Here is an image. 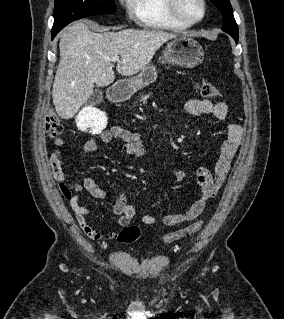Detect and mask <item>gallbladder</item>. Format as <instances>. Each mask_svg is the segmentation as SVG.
<instances>
[{
	"label": "gallbladder",
	"mask_w": 284,
	"mask_h": 319,
	"mask_svg": "<svg viewBox=\"0 0 284 319\" xmlns=\"http://www.w3.org/2000/svg\"><path fill=\"white\" fill-rule=\"evenodd\" d=\"M103 101V92L100 89H95L93 93L90 95V97L87 100V104L97 105L100 104Z\"/></svg>",
	"instance_id": "gallbladder-1"
}]
</instances>
